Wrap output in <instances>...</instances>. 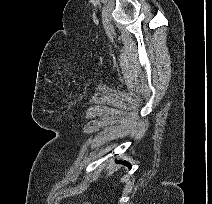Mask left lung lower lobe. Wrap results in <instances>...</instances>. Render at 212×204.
Listing matches in <instances>:
<instances>
[{
  "label": "left lung lower lobe",
  "mask_w": 212,
  "mask_h": 204,
  "mask_svg": "<svg viewBox=\"0 0 212 204\" xmlns=\"http://www.w3.org/2000/svg\"><path fill=\"white\" fill-rule=\"evenodd\" d=\"M118 163H123V164H126L128 165L130 168H131V165H129L127 162H122V161H117Z\"/></svg>",
  "instance_id": "1"
}]
</instances>
